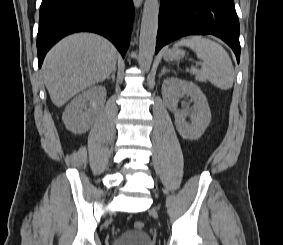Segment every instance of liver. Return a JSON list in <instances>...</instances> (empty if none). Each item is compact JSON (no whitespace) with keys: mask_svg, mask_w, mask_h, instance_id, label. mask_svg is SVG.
<instances>
[{"mask_svg":"<svg viewBox=\"0 0 283 245\" xmlns=\"http://www.w3.org/2000/svg\"><path fill=\"white\" fill-rule=\"evenodd\" d=\"M117 50L92 33L70 35L47 54L42 74L53 104L62 107L74 95L104 81L116 68Z\"/></svg>","mask_w":283,"mask_h":245,"instance_id":"liver-1","label":"liver"}]
</instances>
